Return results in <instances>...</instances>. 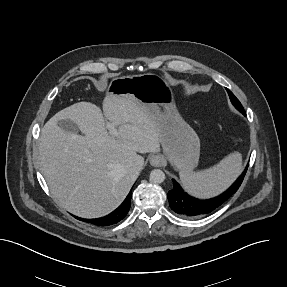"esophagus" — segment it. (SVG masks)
Listing matches in <instances>:
<instances>
[{
	"mask_svg": "<svg viewBox=\"0 0 287 287\" xmlns=\"http://www.w3.org/2000/svg\"><path fill=\"white\" fill-rule=\"evenodd\" d=\"M162 157L160 155H152L150 157V164L154 167H159L162 164Z\"/></svg>",
	"mask_w": 287,
	"mask_h": 287,
	"instance_id": "1",
	"label": "esophagus"
}]
</instances>
